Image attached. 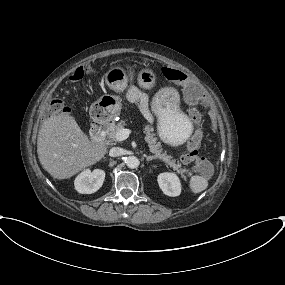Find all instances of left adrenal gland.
Here are the masks:
<instances>
[{
    "label": "left adrenal gland",
    "instance_id": "left-adrenal-gland-1",
    "mask_svg": "<svg viewBox=\"0 0 285 285\" xmlns=\"http://www.w3.org/2000/svg\"><path fill=\"white\" fill-rule=\"evenodd\" d=\"M152 160H155V157L154 156H146V161L147 162H150Z\"/></svg>",
    "mask_w": 285,
    "mask_h": 285
}]
</instances>
